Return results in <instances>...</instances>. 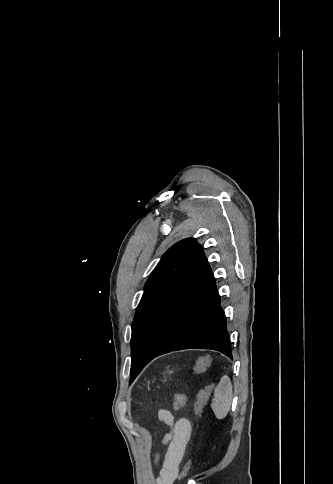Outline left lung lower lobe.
<instances>
[{
	"instance_id": "0a47b994",
	"label": "left lung lower lobe",
	"mask_w": 333,
	"mask_h": 484,
	"mask_svg": "<svg viewBox=\"0 0 333 484\" xmlns=\"http://www.w3.org/2000/svg\"><path fill=\"white\" fill-rule=\"evenodd\" d=\"M183 349L217 350L232 359L226 317L203 250L184 265L156 303L135 345L131 367Z\"/></svg>"
}]
</instances>
